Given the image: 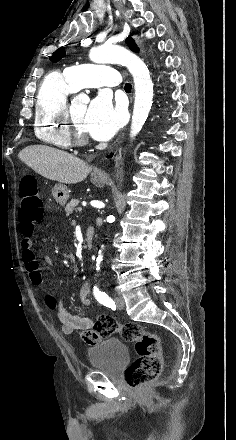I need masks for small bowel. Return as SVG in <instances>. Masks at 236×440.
Wrapping results in <instances>:
<instances>
[{
	"label": "small bowel",
	"instance_id": "1",
	"mask_svg": "<svg viewBox=\"0 0 236 440\" xmlns=\"http://www.w3.org/2000/svg\"><path fill=\"white\" fill-rule=\"evenodd\" d=\"M21 248H22V260L26 265L32 283L36 287L43 288L44 286L43 279L39 269V263L36 254L32 248L31 239L28 237L23 238L21 240ZM46 260L48 259L46 258ZM89 293H90V285L88 282H85L81 286L79 291V297L83 305L88 306L90 304ZM50 298H54V297L48 292H45L44 303L49 309L54 310L57 313L58 319L61 323V330L64 334L70 335L75 331H78L80 332V337L82 339L100 338L101 336L100 331L92 330V327L94 325L92 318L84 315L72 314L71 312L67 311L64 308L61 300H56L57 301L56 307L51 308V306L49 305ZM86 342L89 344H95L98 341H86Z\"/></svg>",
	"mask_w": 236,
	"mask_h": 440
}]
</instances>
